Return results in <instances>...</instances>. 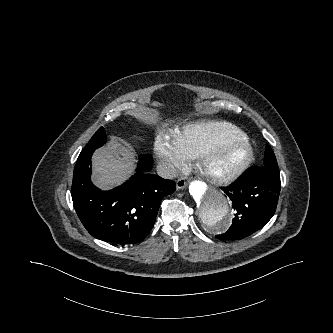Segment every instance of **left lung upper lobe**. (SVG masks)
Instances as JSON below:
<instances>
[{
	"label": "left lung upper lobe",
	"mask_w": 333,
	"mask_h": 333,
	"mask_svg": "<svg viewBox=\"0 0 333 333\" xmlns=\"http://www.w3.org/2000/svg\"><path fill=\"white\" fill-rule=\"evenodd\" d=\"M262 167L267 168L269 171L273 173H279L278 164L273 151L271 152L265 151L264 163Z\"/></svg>",
	"instance_id": "1"
}]
</instances>
